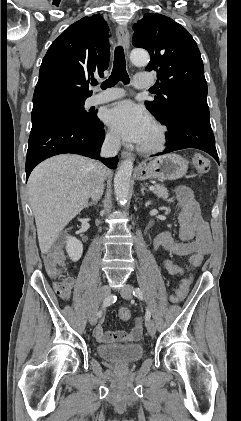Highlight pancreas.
<instances>
[{"instance_id":"cf45deb5","label":"pancreas","mask_w":241,"mask_h":421,"mask_svg":"<svg viewBox=\"0 0 241 421\" xmlns=\"http://www.w3.org/2000/svg\"><path fill=\"white\" fill-rule=\"evenodd\" d=\"M153 193L157 195L159 198L167 199L169 197L168 190L165 186L161 184H155L154 185Z\"/></svg>"}]
</instances>
